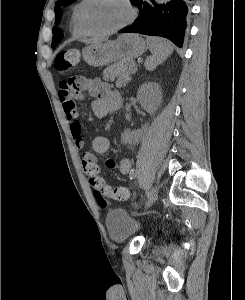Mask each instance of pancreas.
Masks as SVG:
<instances>
[{
    "instance_id": "pancreas-1",
    "label": "pancreas",
    "mask_w": 245,
    "mask_h": 300,
    "mask_svg": "<svg viewBox=\"0 0 245 300\" xmlns=\"http://www.w3.org/2000/svg\"><path fill=\"white\" fill-rule=\"evenodd\" d=\"M135 70L136 66L132 60H122L105 68L103 71V79L111 82L116 79L117 87H125L131 80L130 74L134 73Z\"/></svg>"
}]
</instances>
